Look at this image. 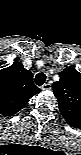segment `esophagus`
I'll return each mask as SVG.
<instances>
[{
    "label": "esophagus",
    "mask_w": 81,
    "mask_h": 155,
    "mask_svg": "<svg viewBox=\"0 0 81 155\" xmlns=\"http://www.w3.org/2000/svg\"><path fill=\"white\" fill-rule=\"evenodd\" d=\"M51 89V83L47 82L41 86V90L46 91Z\"/></svg>",
    "instance_id": "esophagus-1"
}]
</instances>
